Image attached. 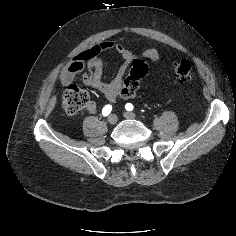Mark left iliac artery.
<instances>
[{
  "mask_svg": "<svg viewBox=\"0 0 236 236\" xmlns=\"http://www.w3.org/2000/svg\"><path fill=\"white\" fill-rule=\"evenodd\" d=\"M125 108H126L127 111H132L134 107H133V105L131 103H127L125 105Z\"/></svg>",
  "mask_w": 236,
  "mask_h": 236,
  "instance_id": "left-iliac-artery-1",
  "label": "left iliac artery"
}]
</instances>
